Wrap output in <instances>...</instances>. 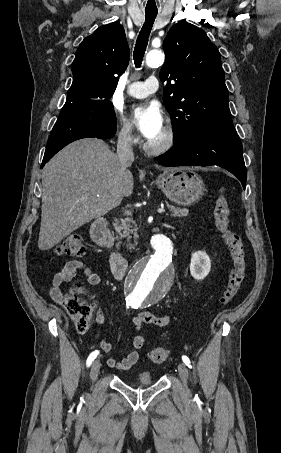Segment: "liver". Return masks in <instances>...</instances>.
Wrapping results in <instances>:
<instances>
[{
    "instance_id": "6515ba94",
    "label": "liver",
    "mask_w": 281,
    "mask_h": 453,
    "mask_svg": "<svg viewBox=\"0 0 281 453\" xmlns=\"http://www.w3.org/2000/svg\"><path fill=\"white\" fill-rule=\"evenodd\" d=\"M121 172L119 156L100 138H80L57 152L42 172L40 251L52 249L130 196L133 174L127 168Z\"/></svg>"
}]
</instances>
